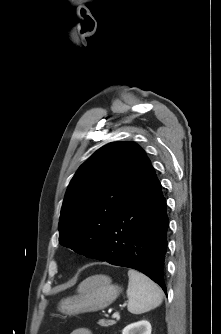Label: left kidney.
I'll use <instances>...</instances> for the list:
<instances>
[{
	"mask_svg": "<svg viewBox=\"0 0 221 334\" xmlns=\"http://www.w3.org/2000/svg\"><path fill=\"white\" fill-rule=\"evenodd\" d=\"M122 334H151V324L145 320L132 323L123 329Z\"/></svg>",
	"mask_w": 221,
	"mask_h": 334,
	"instance_id": "1",
	"label": "left kidney"
}]
</instances>
